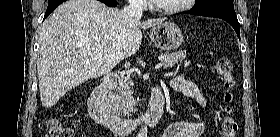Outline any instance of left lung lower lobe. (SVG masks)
Here are the masks:
<instances>
[{
	"instance_id": "left-lung-lower-lobe-1",
	"label": "left lung lower lobe",
	"mask_w": 280,
	"mask_h": 137,
	"mask_svg": "<svg viewBox=\"0 0 280 137\" xmlns=\"http://www.w3.org/2000/svg\"><path fill=\"white\" fill-rule=\"evenodd\" d=\"M188 14L207 16V17H215L220 18L228 22L236 31L237 36L240 38V24L237 20L236 14H230L226 12H218V11H190Z\"/></svg>"
}]
</instances>
